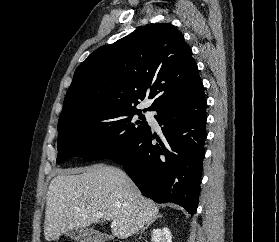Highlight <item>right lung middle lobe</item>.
I'll use <instances>...</instances> for the list:
<instances>
[{
	"mask_svg": "<svg viewBox=\"0 0 279 242\" xmlns=\"http://www.w3.org/2000/svg\"><path fill=\"white\" fill-rule=\"evenodd\" d=\"M140 115V120L133 118ZM149 128L141 110H127L101 118L75 119L58 124L57 163L70 156L95 161L119 153Z\"/></svg>",
	"mask_w": 279,
	"mask_h": 242,
	"instance_id": "1",
	"label": "right lung middle lobe"
}]
</instances>
